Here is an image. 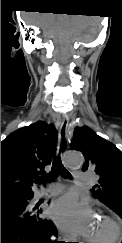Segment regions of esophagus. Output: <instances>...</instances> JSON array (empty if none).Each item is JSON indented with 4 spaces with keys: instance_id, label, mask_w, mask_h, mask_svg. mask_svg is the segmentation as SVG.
I'll return each mask as SVG.
<instances>
[{
    "instance_id": "34e87169",
    "label": "esophagus",
    "mask_w": 122,
    "mask_h": 243,
    "mask_svg": "<svg viewBox=\"0 0 122 243\" xmlns=\"http://www.w3.org/2000/svg\"><path fill=\"white\" fill-rule=\"evenodd\" d=\"M68 124H69V118L68 116H64L62 121H61V125L59 128V140H60V144H59V154L60 156H63L65 154V152L67 151L68 148V142H67V131H68ZM65 239L68 240V242L71 243H76L75 240H71L70 237L65 236Z\"/></svg>"
}]
</instances>
